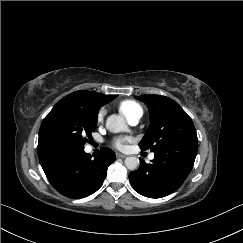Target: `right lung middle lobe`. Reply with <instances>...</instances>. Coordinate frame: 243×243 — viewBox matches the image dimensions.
<instances>
[{
	"instance_id": "right-lung-middle-lobe-1",
	"label": "right lung middle lobe",
	"mask_w": 243,
	"mask_h": 243,
	"mask_svg": "<svg viewBox=\"0 0 243 243\" xmlns=\"http://www.w3.org/2000/svg\"><path fill=\"white\" fill-rule=\"evenodd\" d=\"M96 126V113L58 102L41 124L37 151L83 148Z\"/></svg>"
}]
</instances>
